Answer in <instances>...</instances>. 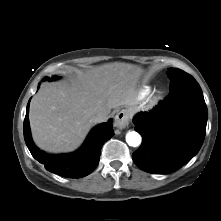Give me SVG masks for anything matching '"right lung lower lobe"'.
Returning <instances> with one entry per match:
<instances>
[{
    "instance_id": "right-lung-lower-lobe-1",
    "label": "right lung lower lobe",
    "mask_w": 221,
    "mask_h": 221,
    "mask_svg": "<svg viewBox=\"0 0 221 221\" xmlns=\"http://www.w3.org/2000/svg\"><path fill=\"white\" fill-rule=\"evenodd\" d=\"M29 105L24 120V139L32 156L45 168L67 178H80L90 174L98 165L102 145L114 135L112 119L96 126L88 135L82 147L76 152L63 155H47L33 143L29 125Z\"/></svg>"
}]
</instances>
